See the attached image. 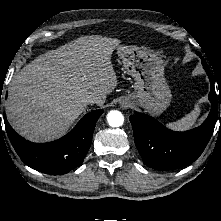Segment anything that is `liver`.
Segmentation results:
<instances>
[{"label": "liver", "mask_w": 221, "mask_h": 221, "mask_svg": "<svg viewBox=\"0 0 221 221\" xmlns=\"http://www.w3.org/2000/svg\"><path fill=\"white\" fill-rule=\"evenodd\" d=\"M119 45L116 38L79 37L23 67L6 102L12 127L30 141H49L70 128L87 98L103 105L118 84L111 56Z\"/></svg>", "instance_id": "liver-1"}]
</instances>
